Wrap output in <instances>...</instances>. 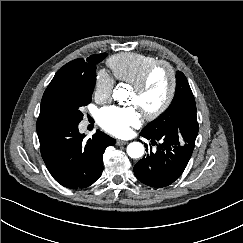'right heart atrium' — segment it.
Here are the masks:
<instances>
[{
  "instance_id": "1",
  "label": "right heart atrium",
  "mask_w": 243,
  "mask_h": 243,
  "mask_svg": "<svg viewBox=\"0 0 243 243\" xmlns=\"http://www.w3.org/2000/svg\"><path fill=\"white\" fill-rule=\"evenodd\" d=\"M114 86L113 77L105 70L100 69L96 72L94 78V96L97 100L107 99Z\"/></svg>"
}]
</instances>
